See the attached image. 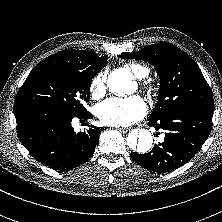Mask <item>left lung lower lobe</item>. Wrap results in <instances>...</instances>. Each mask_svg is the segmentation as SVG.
I'll return each mask as SVG.
<instances>
[{
  "label": "left lung lower lobe",
  "instance_id": "left-lung-lower-lobe-1",
  "mask_svg": "<svg viewBox=\"0 0 222 222\" xmlns=\"http://www.w3.org/2000/svg\"><path fill=\"white\" fill-rule=\"evenodd\" d=\"M212 108L186 107L148 125L165 130L164 142L146 154L131 152V158L145 169L158 173L172 171L187 163L200 150L212 129Z\"/></svg>",
  "mask_w": 222,
  "mask_h": 222
}]
</instances>
